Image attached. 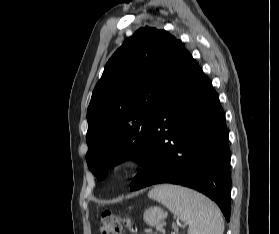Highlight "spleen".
<instances>
[{"mask_svg": "<svg viewBox=\"0 0 279 234\" xmlns=\"http://www.w3.org/2000/svg\"><path fill=\"white\" fill-rule=\"evenodd\" d=\"M149 197L165 205L188 223V234H223L224 220L217 206L206 196L178 185H158Z\"/></svg>", "mask_w": 279, "mask_h": 234, "instance_id": "1", "label": "spleen"}]
</instances>
